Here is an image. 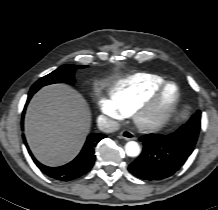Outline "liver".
Instances as JSON below:
<instances>
[{
    "label": "liver",
    "instance_id": "obj_1",
    "mask_svg": "<svg viewBox=\"0 0 218 210\" xmlns=\"http://www.w3.org/2000/svg\"><path fill=\"white\" fill-rule=\"evenodd\" d=\"M91 113L85 99L66 84L43 87L30 101L25 135L34 156L59 166L81 150L90 131Z\"/></svg>",
    "mask_w": 218,
    "mask_h": 210
}]
</instances>
